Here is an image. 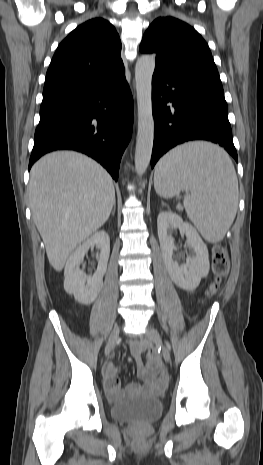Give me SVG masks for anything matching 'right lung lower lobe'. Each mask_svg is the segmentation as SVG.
I'll return each instance as SVG.
<instances>
[{"label":"right lung lower lobe","mask_w":263,"mask_h":465,"mask_svg":"<svg viewBox=\"0 0 263 465\" xmlns=\"http://www.w3.org/2000/svg\"><path fill=\"white\" fill-rule=\"evenodd\" d=\"M133 124V99L125 79L43 97L29 169L42 155L76 150L102 164L117 181Z\"/></svg>","instance_id":"right-lung-lower-lobe-1"}]
</instances>
